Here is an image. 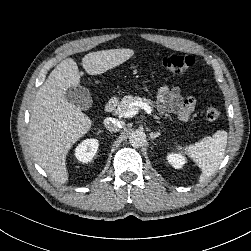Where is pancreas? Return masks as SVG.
I'll use <instances>...</instances> for the list:
<instances>
[{
	"mask_svg": "<svg viewBox=\"0 0 251 251\" xmlns=\"http://www.w3.org/2000/svg\"><path fill=\"white\" fill-rule=\"evenodd\" d=\"M142 100L151 105H154L155 103L147 98H140L138 96L126 95L122 98L121 102L118 104L117 108L115 109V113L117 115H123L128 110L130 103Z\"/></svg>",
	"mask_w": 251,
	"mask_h": 251,
	"instance_id": "pancreas-1",
	"label": "pancreas"
}]
</instances>
